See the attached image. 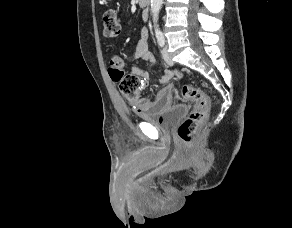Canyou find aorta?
<instances>
[{
	"label": "aorta",
	"instance_id": "obj_1",
	"mask_svg": "<svg viewBox=\"0 0 292 228\" xmlns=\"http://www.w3.org/2000/svg\"><path fill=\"white\" fill-rule=\"evenodd\" d=\"M163 0H151V13L153 15V22H154V27H155V31L158 32L159 28L157 25V21H158V15L162 6Z\"/></svg>",
	"mask_w": 292,
	"mask_h": 228
}]
</instances>
